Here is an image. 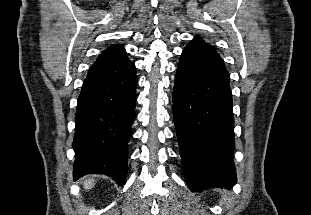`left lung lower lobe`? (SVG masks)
I'll use <instances>...</instances> for the list:
<instances>
[{"mask_svg": "<svg viewBox=\"0 0 311 215\" xmlns=\"http://www.w3.org/2000/svg\"><path fill=\"white\" fill-rule=\"evenodd\" d=\"M173 117L189 189L235 185L229 74L215 48L201 38L185 47L178 63Z\"/></svg>", "mask_w": 311, "mask_h": 215, "instance_id": "1", "label": "left lung lower lobe"}]
</instances>
